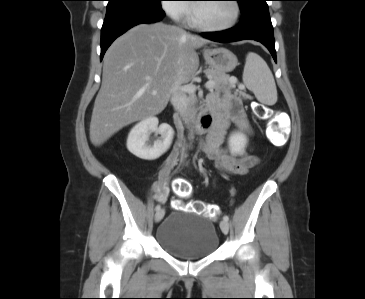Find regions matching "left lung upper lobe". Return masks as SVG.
<instances>
[{"instance_id":"left-lung-upper-lobe-1","label":"left lung upper lobe","mask_w":365,"mask_h":299,"mask_svg":"<svg viewBox=\"0 0 365 299\" xmlns=\"http://www.w3.org/2000/svg\"><path fill=\"white\" fill-rule=\"evenodd\" d=\"M236 1H238L239 5H240V9H244L255 2L264 1V0H236Z\"/></svg>"}]
</instances>
